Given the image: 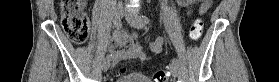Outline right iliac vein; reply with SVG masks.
<instances>
[{"label": "right iliac vein", "instance_id": "obj_1", "mask_svg": "<svg viewBox=\"0 0 279 82\" xmlns=\"http://www.w3.org/2000/svg\"><path fill=\"white\" fill-rule=\"evenodd\" d=\"M123 13H124L123 7H121V6L116 7V9H115V16H116L117 18L120 19V18L122 17ZM109 66H110L109 60H108V59H105V60L103 61V64H102V70H103L104 72H106V71L109 69Z\"/></svg>", "mask_w": 279, "mask_h": 82}]
</instances>
